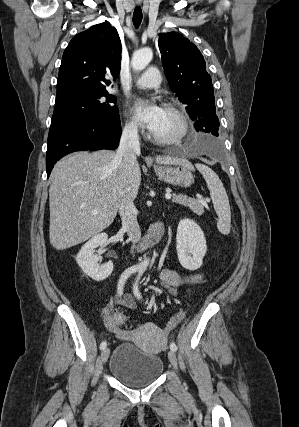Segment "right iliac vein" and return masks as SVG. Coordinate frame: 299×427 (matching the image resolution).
Instances as JSON below:
<instances>
[{"mask_svg": "<svg viewBox=\"0 0 299 427\" xmlns=\"http://www.w3.org/2000/svg\"><path fill=\"white\" fill-rule=\"evenodd\" d=\"M110 355V349L109 348H104L102 353H101V360L103 363H105Z\"/></svg>", "mask_w": 299, "mask_h": 427, "instance_id": "right-iliac-vein-1", "label": "right iliac vein"}]
</instances>
